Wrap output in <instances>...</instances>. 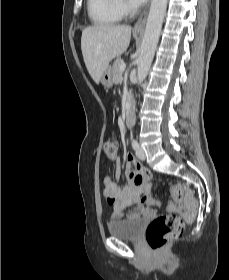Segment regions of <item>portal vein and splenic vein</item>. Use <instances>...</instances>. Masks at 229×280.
Masks as SVG:
<instances>
[{
  "label": "portal vein and splenic vein",
  "instance_id": "obj_1",
  "mask_svg": "<svg viewBox=\"0 0 229 280\" xmlns=\"http://www.w3.org/2000/svg\"><path fill=\"white\" fill-rule=\"evenodd\" d=\"M126 64L123 62L120 66V70L123 72L125 70Z\"/></svg>",
  "mask_w": 229,
  "mask_h": 280
}]
</instances>
